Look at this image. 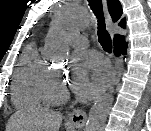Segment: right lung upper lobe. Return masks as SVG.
Wrapping results in <instances>:
<instances>
[{"mask_svg":"<svg viewBox=\"0 0 151 131\" xmlns=\"http://www.w3.org/2000/svg\"><path fill=\"white\" fill-rule=\"evenodd\" d=\"M108 3V10L110 12V15L113 19L114 22L118 21L122 15V7L121 4L118 0H107ZM119 26H121L122 28H125L126 26V21L125 18H123L120 22H119ZM123 38V36L121 35H116L114 38V41Z\"/></svg>","mask_w":151,"mask_h":131,"instance_id":"1","label":"right lung upper lobe"}]
</instances>
